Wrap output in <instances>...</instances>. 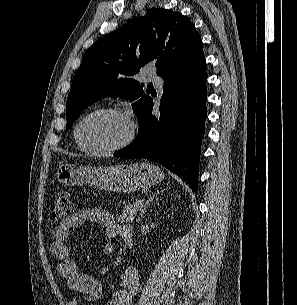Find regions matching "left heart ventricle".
I'll return each mask as SVG.
<instances>
[{
	"instance_id": "left-heart-ventricle-1",
	"label": "left heart ventricle",
	"mask_w": 297,
	"mask_h": 305,
	"mask_svg": "<svg viewBox=\"0 0 297 305\" xmlns=\"http://www.w3.org/2000/svg\"><path fill=\"white\" fill-rule=\"evenodd\" d=\"M128 132L126 121L114 114H97L85 120L80 128L84 146L107 147L122 141Z\"/></svg>"
}]
</instances>
